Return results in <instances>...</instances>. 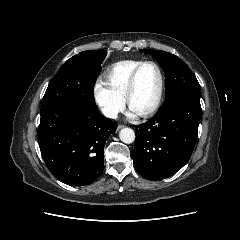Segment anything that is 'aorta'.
Segmentation results:
<instances>
[{"label": "aorta", "mask_w": 240, "mask_h": 240, "mask_svg": "<svg viewBox=\"0 0 240 240\" xmlns=\"http://www.w3.org/2000/svg\"><path fill=\"white\" fill-rule=\"evenodd\" d=\"M119 138L123 143L130 144L135 140V132L131 128H122L119 132Z\"/></svg>", "instance_id": "762f6f07"}]
</instances>
